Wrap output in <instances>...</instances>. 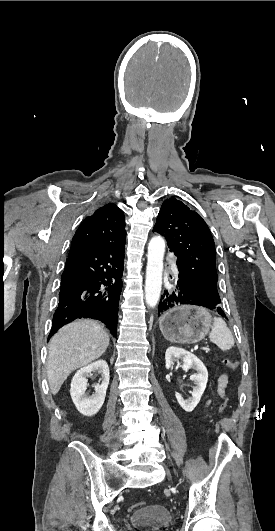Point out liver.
<instances>
[{
    "label": "liver",
    "instance_id": "6515ba94",
    "mask_svg": "<svg viewBox=\"0 0 275 531\" xmlns=\"http://www.w3.org/2000/svg\"><path fill=\"white\" fill-rule=\"evenodd\" d=\"M109 341L103 327L90 319L74 321L59 329L48 345L47 377L52 395H57L72 371L99 359Z\"/></svg>",
    "mask_w": 275,
    "mask_h": 531
}]
</instances>
